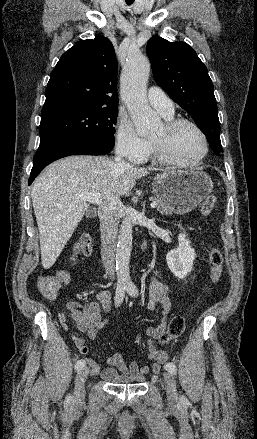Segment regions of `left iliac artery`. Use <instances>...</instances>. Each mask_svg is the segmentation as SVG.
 Masks as SVG:
<instances>
[{"label":"left iliac artery","mask_w":257,"mask_h":439,"mask_svg":"<svg viewBox=\"0 0 257 439\" xmlns=\"http://www.w3.org/2000/svg\"><path fill=\"white\" fill-rule=\"evenodd\" d=\"M126 291L129 293V295L131 296H136L138 294V290L137 287L132 283V282H127L126 283ZM165 368L168 372H170L171 374H176L177 368L175 366L174 363L172 362H168L165 365ZM181 400H185V398L182 396Z\"/></svg>","instance_id":"left-iliac-artery-1"}]
</instances>
